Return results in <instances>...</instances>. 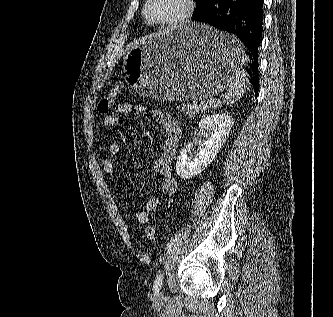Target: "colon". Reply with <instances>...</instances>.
Here are the masks:
<instances>
[{
    "instance_id": "5ec220e1",
    "label": "colon",
    "mask_w": 333,
    "mask_h": 317,
    "mask_svg": "<svg viewBox=\"0 0 333 317\" xmlns=\"http://www.w3.org/2000/svg\"><path fill=\"white\" fill-rule=\"evenodd\" d=\"M120 93L119 89H112L109 91L106 95H104L99 104H98V110L101 114H107L110 110L112 104L115 102L118 94ZM145 235L148 239L154 240L156 238V229L153 226H147L145 228Z\"/></svg>"
}]
</instances>
